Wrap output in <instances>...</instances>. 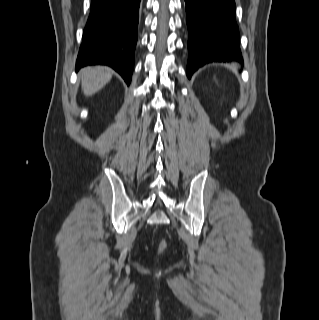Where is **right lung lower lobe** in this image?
<instances>
[{"mask_svg": "<svg viewBox=\"0 0 319 320\" xmlns=\"http://www.w3.org/2000/svg\"><path fill=\"white\" fill-rule=\"evenodd\" d=\"M140 1L91 0L76 70L86 65H108L130 84Z\"/></svg>", "mask_w": 319, "mask_h": 320, "instance_id": "right-lung-lower-lobe-1", "label": "right lung lower lobe"}]
</instances>
